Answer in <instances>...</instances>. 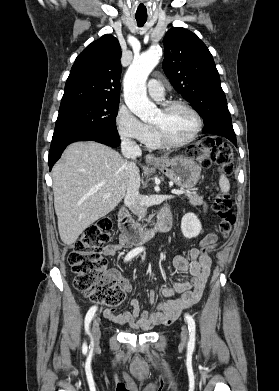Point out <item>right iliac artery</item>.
I'll list each match as a JSON object with an SVG mask.
<instances>
[{"label": "right iliac artery", "instance_id": "1", "mask_svg": "<svg viewBox=\"0 0 279 391\" xmlns=\"http://www.w3.org/2000/svg\"><path fill=\"white\" fill-rule=\"evenodd\" d=\"M142 251H143V248H135V249L131 250L126 255L125 261H129L130 259H132L134 256H136L137 254H139ZM96 310H97V307L96 306H92L89 309V311L87 312V314H86V317H85V330H86L87 334H90V332H89V325L91 323L92 318L94 317V314H95ZM83 350H87L86 343L83 344Z\"/></svg>", "mask_w": 279, "mask_h": 391}]
</instances>
